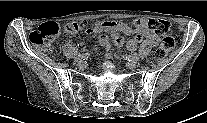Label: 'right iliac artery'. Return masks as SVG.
<instances>
[{"mask_svg":"<svg viewBox=\"0 0 207 123\" xmlns=\"http://www.w3.org/2000/svg\"><path fill=\"white\" fill-rule=\"evenodd\" d=\"M89 53H85V54H79L76 58H75V62L79 61V60H85L89 57Z\"/></svg>","mask_w":207,"mask_h":123,"instance_id":"obj_1","label":"right iliac artery"}]
</instances>
